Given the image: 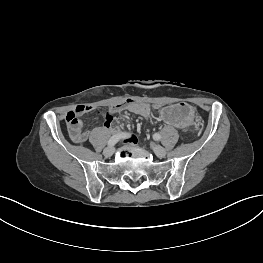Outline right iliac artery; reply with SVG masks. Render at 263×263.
Masks as SVG:
<instances>
[{"label": "right iliac artery", "instance_id": "right-iliac-artery-1", "mask_svg": "<svg viewBox=\"0 0 263 263\" xmlns=\"http://www.w3.org/2000/svg\"><path fill=\"white\" fill-rule=\"evenodd\" d=\"M129 134L120 133L112 136L108 141V146H114L121 138H127Z\"/></svg>", "mask_w": 263, "mask_h": 263}]
</instances>
